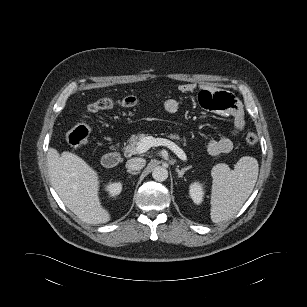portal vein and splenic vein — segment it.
Listing matches in <instances>:
<instances>
[{
  "mask_svg": "<svg viewBox=\"0 0 307 307\" xmlns=\"http://www.w3.org/2000/svg\"><path fill=\"white\" fill-rule=\"evenodd\" d=\"M153 146H166L172 150L181 160L186 161L187 156L185 152L179 148L174 142L164 138H154L152 136H145L137 145L138 153H145Z\"/></svg>",
  "mask_w": 307,
  "mask_h": 307,
  "instance_id": "18ae733b",
  "label": "portal vein and splenic vein"
}]
</instances>
